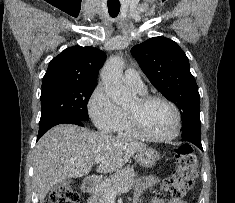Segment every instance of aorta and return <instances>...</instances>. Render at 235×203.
I'll use <instances>...</instances> for the list:
<instances>
[{"label": "aorta", "instance_id": "762f6f07", "mask_svg": "<svg viewBox=\"0 0 235 203\" xmlns=\"http://www.w3.org/2000/svg\"><path fill=\"white\" fill-rule=\"evenodd\" d=\"M123 60L111 57L101 70L102 84L107 95L116 103L124 104L129 100V93L122 83Z\"/></svg>", "mask_w": 235, "mask_h": 203}]
</instances>
